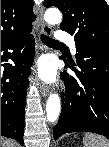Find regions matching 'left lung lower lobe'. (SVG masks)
<instances>
[{
  "label": "left lung lower lobe",
  "instance_id": "1",
  "mask_svg": "<svg viewBox=\"0 0 109 147\" xmlns=\"http://www.w3.org/2000/svg\"><path fill=\"white\" fill-rule=\"evenodd\" d=\"M62 59L77 77L68 76L66 72L61 75L67 89L53 130L54 139L79 131L109 139V51L76 44V64Z\"/></svg>",
  "mask_w": 109,
  "mask_h": 147
}]
</instances>
